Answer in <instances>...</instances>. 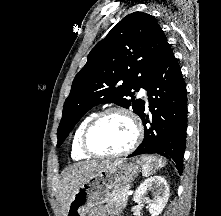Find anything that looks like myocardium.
Here are the masks:
<instances>
[{
  "label": "myocardium",
  "mask_w": 221,
  "mask_h": 216,
  "mask_svg": "<svg viewBox=\"0 0 221 216\" xmlns=\"http://www.w3.org/2000/svg\"><path fill=\"white\" fill-rule=\"evenodd\" d=\"M114 113L125 116L131 122L134 130L133 141L127 148L118 152L101 153L92 150L88 144V138L92 128L104 117ZM142 137L143 125L140 118L136 114H134L129 108H126L124 106H112L100 111L90 119V121L87 123L82 132L80 143L82 150L89 156L97 158H117L132 152L139 145Z\"/></svg>",
  "instance_id": "1"
}]
</instances>
